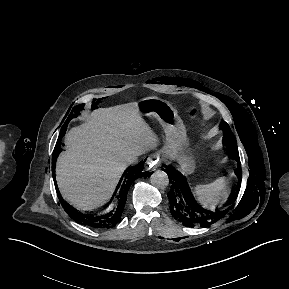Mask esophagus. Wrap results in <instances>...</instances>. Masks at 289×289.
Here are the masks:
<instances>
[{
    "label": "esophagus",
    "instance_id": "34e87169",
    "mask_svg": "<svg viewBox=\"0 0 289 289\" xmlns=\"http://www.w3.org/2000/svg\"><path fill=\"white\" fill-rule=\"evenodd\" d=\"M147 165L150 169L156 170L161 166V161L157 156H150L147 159Z\"/></svg>",
    "mask_w": 289,
    "mask_h": 289
}]
</instances>
